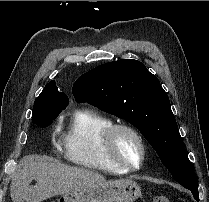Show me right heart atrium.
<instances>
[{"instance_id": "right-heart-atrium-1", "label": "right heart atrium", "mask_w": 209, "mask_h": 202, "mask_svg": "<svg viewBox=\"0 0 209 202\" xmlns=\"http://www.w3.org/2000/svg\"><path fill=\"white\" fill-rule=\"evenodd\" d=\"M57 131H58V127L55 126V128H54V133H57Z\"/></svg>"}]
</instances>
